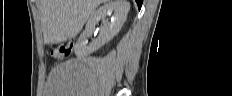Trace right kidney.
Masks as SVG:
<instances>
[{
    "label": "right kidney",
    "instance_id": "right-kidney-1",
    "mask_svg": "<svg viewBox=\"0 0 232 96\" xmlns=\"http://www.w3.org/2000/svg\"><path fill=\"white\" fill-rule=\"evenodd\" d=\"M130 9V4L127 0H108V3L101 6L89 17L85 30L80 35L74 50L78 57L84 58L101 48L104 44L109 42L123 26L127 14ZM111 22L106 19V16H111ZM104 20V25L100 30L97 39L90 44L87 38L91 36L99 20Z\"/></svg>",
    "mask_w": 232,
    "mask_h": 96
}]
</instances>
